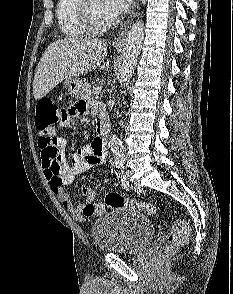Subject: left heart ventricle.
<instances>
[{
    "label": "left heart ventricle",
    "instance_id": "left-heart-ventricle-1",
    "mask_svg": "<svg viewBox=\"0 0 233 294\" xmlns=\"http://www.w3.org/2000/svg\"><path fill=\"white\" fill-rule=\"evenodd\" d=\"M91 8L100 21H110L104 10V0H90Z\"/></svg>",
    "mask_w": 233,
    "mask_h": 294
}]
</instances>
